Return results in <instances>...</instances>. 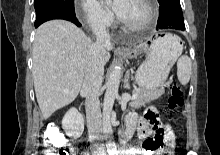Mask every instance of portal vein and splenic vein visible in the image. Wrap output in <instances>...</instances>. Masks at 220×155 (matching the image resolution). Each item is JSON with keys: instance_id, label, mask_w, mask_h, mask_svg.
<instances>
[{"instance_id": "18ae733b", "label": "portal vein and splenic vein", "mask_w": 220, "mask_h": 155, "mask_svg": "<svg viewBox=\"0 0 220 155\" xmlns=\"http://www.w3.org/2000/svg\"><path fill=\"white\" fill-rule=\"evenodd\" d=\"M137 96H138V92H133V93H132V99H133V100L136 99Z\"/></svg>"}]
</instances>
